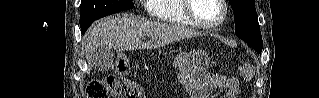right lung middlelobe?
<instances>
[{"label": "right lung middle lobe", "mask_w": 319, "mask_h": 98, "mask_svg": "<svg viewBox=\"0 0 319 98\" xmlns=\"http://www.w3.org/2000/svg\"><path fill=\"white\" fill-rule=\"evenodd\" d=\"M133 6L131 0H82L80 26L110 14L132 9Z\"/></svg>", "instance_id": "1"}]
</instances>
